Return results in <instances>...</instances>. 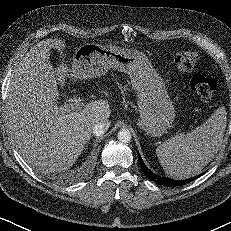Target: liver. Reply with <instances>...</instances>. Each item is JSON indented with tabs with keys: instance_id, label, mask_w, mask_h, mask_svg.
I'll use <instances>...</instances> for the list:
<instances>
[{
	"instance_id": "6515ba94",
	"label": "liver",
	"mask_w": 231,
	"mask_h": 231,
	"mask_svg": "<svg viewBox=\"0 0 231 231\" xmlns=\"http://www.w3.org/2000/svg\"><path fill=\"white\" fill-rule=\"evenodd\" d=\"M65 48L60 39H46L30 49L14 68L8 88V128L23 158L44 172L69 169L84 150L96 123L108 121L106 100L93 101L82 110L69 112L57 101L58 83L64 85L68 67L50 63L51 49ZM108 95L107 92H104Z\"/></svg>"
}]
</instances>
